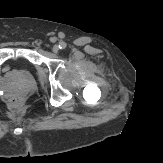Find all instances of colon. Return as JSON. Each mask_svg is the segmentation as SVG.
Instances as JSON below:
<instances>
[{"label":"colon","mask_w":163,"mask_h":163,"mask_svg":"<svg viewBox=\"0 0 163 163\" xmlns=\"http://www.w3.org/2000/svg\"><path fill=\"white\" fill-rule=\"evenodd\" d=\"M19 104H20V99H19V98H13V99L11 100V105H12V106L16 107V106H18Z\"/></svg>","instance_id":"1"}]
</instances>
